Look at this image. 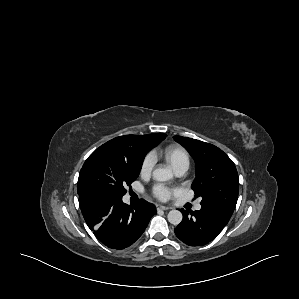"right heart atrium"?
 <instances>
[{
    "mask_svg": "<svg viewBox=\"0 0 299 299\" xmlns=\"http://www.w3.org/2000/svg\"><path fill=\"white\" fill-rule=\"evenodd\" d=\"M155 165V157L153 154L149 153L147 154L142 163H141V167H140V173L142 176H149L152 173V170L154 168Z\"/></svg>",
    "mask_w": 299,
    "mask_h": 299,
    "instance_id": "d8ad5b80",
    "label": "right heart atrium"
}]
</instances>
